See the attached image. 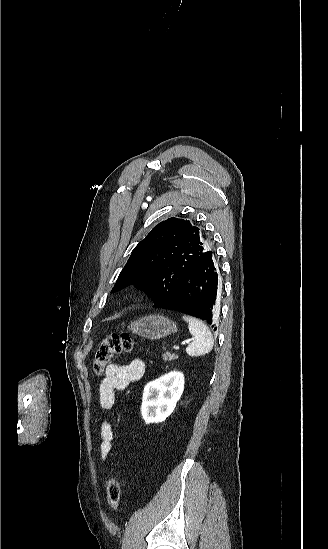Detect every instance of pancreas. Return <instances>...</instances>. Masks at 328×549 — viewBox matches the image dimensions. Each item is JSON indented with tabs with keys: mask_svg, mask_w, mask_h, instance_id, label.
Returning a JSON list of instances; mask_svg holds the SVG:
<instances>
[{
	"mask_svg": "<svg viewBox=\"0 0 328 549\" xmlns=\"http://www.w3.org/2000/svg\"><path fill=\"white\" fill-rule=\"evenodd\" d=\"M163 359L164 361H174V359H178V355H175V353H165Z\"/></svg>",
	"mask_w": 328,
	"mask_h": 549,
	"instance_id": "1",
	"label": "pancreas"
}]
</instances>
